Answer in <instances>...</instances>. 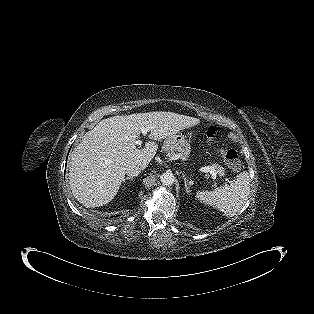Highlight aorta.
I'll use <instances>...</instances> for the list:
<instances>
[{"mask_svg": "<svg viewBox=\"0 0 314 314\" xmlns=\"http://www.w3.org/2000/svg\"><path fill=\"white\" fill-rule=\"evenodd\" d=\"M160 179H161L162 184L166 185V186H171L175 181V178H174V175L172 174V172L163 173L160 176Z\"/></svg>", "mask_w": 314, "mask_h": 314, "instance_id": "762f6f07", "label": "aorta"}]
</instances>
